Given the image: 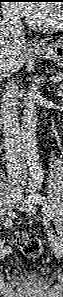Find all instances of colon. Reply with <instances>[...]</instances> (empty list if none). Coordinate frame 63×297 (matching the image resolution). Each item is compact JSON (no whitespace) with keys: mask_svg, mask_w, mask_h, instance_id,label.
<instances>
[{"mask_svg":"<svg viewBox=\"0 0 63 297\" xmlns=\"http://www.w3.org/2000/svg\"><path fill=\"white\" fill-rule=\"evenodd\" d=\"M13 242L28 257H37L41 252L40 241L27 233H16Z\"/></svg>","mask_w":63,"mask_h":297,"instance_id":"obj_1","label":"colon"}]
</instances>
